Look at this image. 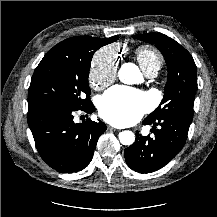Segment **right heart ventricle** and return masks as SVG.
<instances>
[{"label":"right heart ventricle","mask_w":217,"mask_h":217,"mask_svg":"<svg viewBox=\"0 0 217 217\" xmlns=\"http://www.w3.org/2000/svg\"><path fill=\"white\" fill-rule=\"evenodd\" d=\"M135 58L145 73L151 70L158 71L162 66L161 55L150 46H140L135 50Z\"/></svg>","instance_id":"1"}]
</instances>
